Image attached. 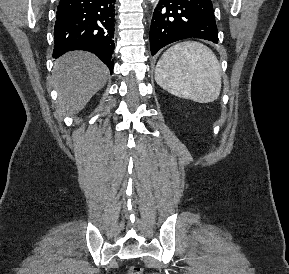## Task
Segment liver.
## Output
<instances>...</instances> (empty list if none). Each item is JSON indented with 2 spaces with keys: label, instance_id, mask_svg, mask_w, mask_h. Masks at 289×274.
Here are the masks:
<instances>
[{
  "label": "liver",
  "instance_id": "6515ba94",
  "mask_svg": "<svg viewBox=\"0 0 289 274\" xmlns=\"http://www.w3.org/2000/svg\"><path fill=\"white\" fill-rule=\"evenodd\" d=\"M108 68L95 55L71 51L54 63L52 80L58 92V113L75 115L106 84Z\"/></svg>",
  "mask_w": 289,
  "mask_h": 274
}]
</instances>
